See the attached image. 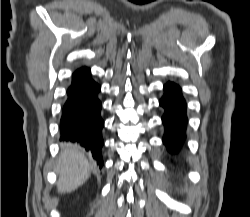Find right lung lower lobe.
<instances>
[{
  "mask_svg": "<svg viewBox=\"0 0 250 217\" xmlns=\"http://www.w3.org/2000/svg\"><path fill=\"white\" fill-rule=\"evenodd\" d=\"M100 90V85L90 77V69L82 67L74 72L62 108L60 140L80 144L92 154L101 168L104 121L98 99Z\"/></svg>",
  "mask_w": 250,
  "mask_h": 217,
  "instance_id": "98d812e1",
  "label": "right lung lower lobe"
}]
</instances>
